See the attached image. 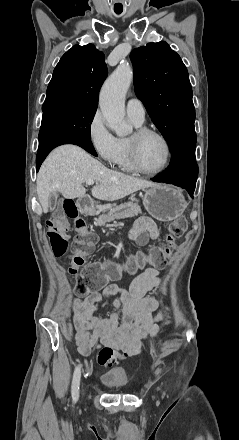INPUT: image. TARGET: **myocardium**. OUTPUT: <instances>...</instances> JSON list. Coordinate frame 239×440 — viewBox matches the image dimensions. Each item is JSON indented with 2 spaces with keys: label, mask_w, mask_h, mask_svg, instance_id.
I'll return each instance as SVG.
<instances>
[{
  "label": "myocardium",
  "mask_w": 239,
  "mask_h": 440,
  "mask_svg": "<svg viewBox=\"0 0 239 440\" xmlns=\"http://www.w3.org/2000/svg\"><path fill=\"white\" fill-rule=\"evenodd\" d=\"M148 135H154L160 138L166 147L167 156H166L165 164L156 171H149L145 169L142 166L139 159L137 141ZM127 142H128V151H129L131 165L135 171L147 176H157L164 173L169 168L172 160V146L169 139L161 131L155 128L141 126L135 130L134 136L132 138H129Z\"/></svg>",
  "instance_id": "f54148a6"
}]
</instances>
